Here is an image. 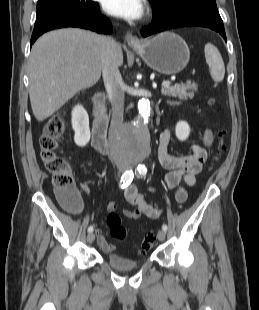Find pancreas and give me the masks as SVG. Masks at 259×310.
I'll return each instance as SVG.
<instances>
[{
	"mask_svg": "<svg viewBox=\"0 0 259 310\" xmlns=\"http://www.w3.org/2000/svg\"><path fill=\"white\" fill-rule=\"evenodd\" d=\"M197 88L198 87L195 82L188 80L186 83L163 87L161 92L165 96L177 97L181 100H188L194 97Z\"/></svg>",
	"mask_w": 259,
	"mask_h": 310,
	"instance_id": "cf45deb5",
	"label": "pancreas"
}]
</instances>
